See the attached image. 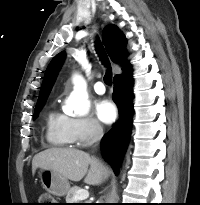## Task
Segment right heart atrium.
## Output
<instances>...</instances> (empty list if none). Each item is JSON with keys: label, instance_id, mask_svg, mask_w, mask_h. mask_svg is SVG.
Wrapping results in <instances>:
<instances>
[{"label": "right heart atrium", "instance_id": "1", "mask_svg": "<svg viewBox=\"0 0 200 205\" xmlns=\"http://www.w3.org/2000/svg\"><path fill=\"white\" fill-rule=\"evenodd\" d=\"M68 127L73 143L78 145H87L103 133L101 125L89 116L68 117Z\"/></svg>", "mask_w": 200, "mask_h": 205}]
</instances>
